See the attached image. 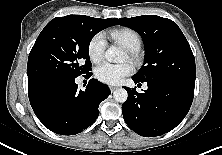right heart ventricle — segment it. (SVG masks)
Listing matches in <instances>:
<instances>
[{
    "instance_id": "right-heart-ventricle-1",
    "label": "right heart ventricle",
    "mask_w": 222,
    "mask_h": 155,
    "mask_svg": "<svg viewBox=\"0 0 222 155\" xmlns=\"http://www.w3.org/2000/svg\"><path fill=\"white\" fill-rule=\"evenodd\" d=\"M110 36L127 50L138 51L142 46L140 35L128 27L113 29L110 31Z\"/></svg>"
}]
</instances>
